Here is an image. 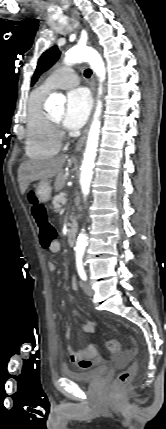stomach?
<instances>
[{
  "mask_svg": "<svg viewBox=\"0 0 166 429\" xmlns=\"http://www.w3.org/2000/svg\"><path fill=\"white\" fill-rule=\"evenodd\" d=\"M34 195L41 202H47L51 197V186L47 181H41L34 190Z\"/></svg>",
  "mask_w": 166,
  "mask_h": 429,
  "instance_id": "1",
  "label": "stomach"
}]
</instances>
